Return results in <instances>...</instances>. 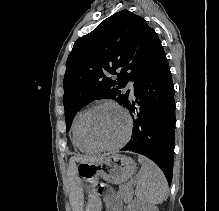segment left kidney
Returning a JSON list of instances; mask_svg holds the SVG:
<instances>
[{
    "label": "left kidney",
    "instance_id": "left-kidney-1",
    "mask_svg": "<svg viewBox=\"0 0 219 211\" xmlns=\"http://www.w3.org/2000/svg\"><path fill=\"white\" fill-rule=\"evenodd\" d=\"M132 211H158V207H150V205H143V203H133Z\"/></svg>",
    "mask_w": 219,
    "mask_h": 211
}]
</instances>
